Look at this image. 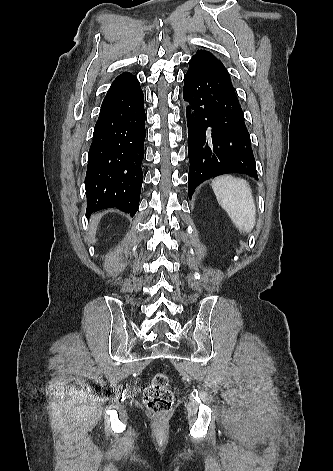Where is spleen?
Returning <instances> with one entry per match:
<instances>
[{
	"mask_svg": "<svg viewBox=\"0 0 333 471\" xmlns=\"http://www.w3.org/2000/svg\"><path fill=\"white\" fill-rule=\"evenodd\" d=\"M212 189L219 205L238 230L250 233L256 223V206L249 183L231 175H222L212 181Z\"/></svg>",
	"mask_w": 333,
	"mask_h": 471,
	"instance_id": "obj_1",
	"label": "spleen"
}]
</instances>
